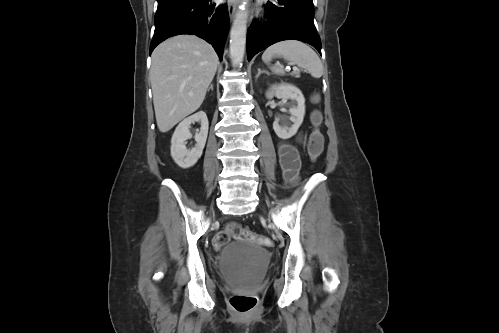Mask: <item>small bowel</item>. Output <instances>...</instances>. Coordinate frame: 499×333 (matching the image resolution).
I'll return each instance as SVG.
<instances>
[{
    "label": "small bowel",
    "instance_id": "small-bowel-1",
    "mask_svg": "<svg viewBox=\"0 0 499 333\" xmlns=\"http://www.w3.org/2000/svg\"><path fill=\"white\" fill-rule=\"evenodd\" d=\"M299 142L304 140V136L302 133L298 135ZM278 155L280 164L283 170L284 179L294 185L299 180V173L301 168V161L298 150L295 146L286 143L280 142L278 145Z\"/></svg>",
    "mask_w": 499,
    "mask_h": 333
}]
</instances>
